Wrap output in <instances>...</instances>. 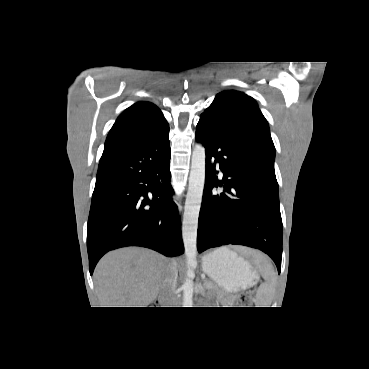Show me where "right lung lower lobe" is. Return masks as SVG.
<instances>
[{"label":"right lung lower lobe","instance_id":"1","mask_svg":"<svg viewBox=\"0 0 369 369\" xmlns=\"http://www.w3.org/2000/svg\"><path fill=\"white\" fill-rule=\"evenodd\" d=\"M169 130L161 137L101 157L87 229L89 269L124 246L166 256L184 252L170 184Z\"/></svg>","mask_w":369,"mask_h":369}]
</instances>
